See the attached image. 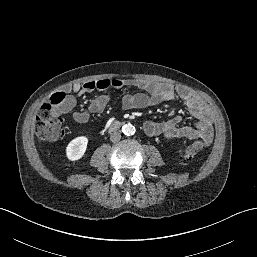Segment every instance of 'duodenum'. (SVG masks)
I'll use <instances>...</instances> for the list:
<instances>
[{
	"label": "duodenum",
	"instance_id": "duodenum-1",
	"mask_svg": "<svg viewBox=\"0 0 257 257\" xmlns=\"http://www.w3.org/2000/svg\"><path fill=\"white\" fill-rule=\"evenodd\" d=\"M122 123L119 121H113L109 124L108 129L109 131H115L121 127Z\"/></svg>",
	"mask_w": 257,
	"mask_h": 257
}]
</instances>
